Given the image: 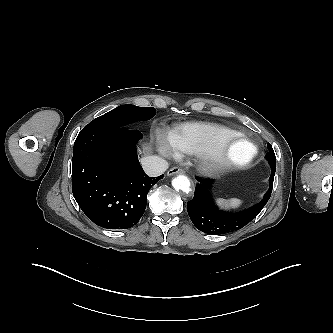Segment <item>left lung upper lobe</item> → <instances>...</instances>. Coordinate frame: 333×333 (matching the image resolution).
Segmentation results:
<instances>
[{
	"instance_id": "5c2ea615",
	"label": "left lung upper lobe",
	"mask_w": 333,
	"mask_h": 333,
	"mask_svg": "<svg viewBox=\"0 0 333 333\" xmlns=\"http://www.w3.org/2000/svg\"><path fill=\"white\" fill-rule=\"evenodd\" d=\"M267 146H268L269 152L266 154V158L268 159V162H269L271 168H274V167H276L275 153H274V150H273L271 144L268 143Z\"/></svg>"
}]
</instances>
